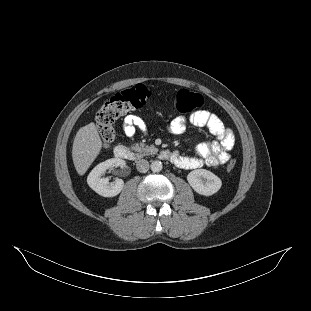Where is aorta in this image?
I'll return each mask as SVG.
<instances>
[{
  "label": "aorta",
  "instance_id": "obj_1",
  "mask_svg": "<svg viewBox=\"0 0 311 311\" xmlns=\"http://www.w3.org/2000/svg\"><path fill=\"white\" fill-rule=\"evenodd\" d=\"M163 168V164L159 160H155L151 163V170L153 172H160Z\"/></svg>",
  "mask_w": 311,
  "mask_h": 311
}]
</instances>
